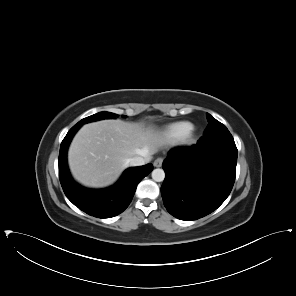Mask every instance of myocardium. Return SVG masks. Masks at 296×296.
Returning <instances> with one entry per match:
<instances>
[{
    "label": "myocardium",
    "mask_w": 296,
    "mask_h": 296,
    "mask_svg": "<svg viewBox=\"0 0 296 296\" xmlns=\"http://www.w3.org/2000/svg\"><path fill=\"white\" fill-rule=\"evenodd\" d=\"M187 140H192L193 139V133L192 132H190L188 135H187Z\"/></svg>",
    "instance_id": "myocardium-1"
}]
</instances>
